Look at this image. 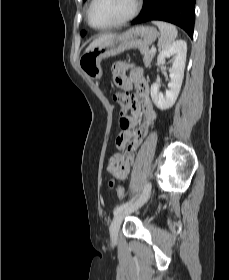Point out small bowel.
I'll return each mask as SVG.
<instances>
[{
  "mask_svg": "<svg viewBox=\"0 0 229 280\" xmlns=\"http://www.w3.org/2000/svg\"><path fill=\"white\" fill-rule=\"evenodd\" d=\"M127 66L115 65L112 68L111 76L113 81L121 88L130 89L132 84L135 85L136 91L129 98L128 104H122L119 97L123 94L116 93L113 95L122 108L121 114L127 115V110L130 109L131 115L128 116L131 125L128 129H122L116 138V146L119 149L129 147V161L133 162V154L140 146L149 127L157 118V113L154 110L153 103L150 98V86L148 80L140 72H135L131 78L126 75ZM143 115L144 119L138 122V116ZM137 125L135 128H133ZM110 174L119 180H125L128 177V172H114Z\"/></svg>",
  "mask_w": 229,
  "mask_h": 280,
  "instance_id": "small-bowel-1",
  "label": "small bowel"
}]
</instances>
